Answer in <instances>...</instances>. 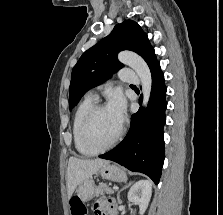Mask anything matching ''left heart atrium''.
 I'll use <instances>...</instances> for the list:
<instances>
[{
	"mask_svg": "<svg viewBox=\"0 0 223 215\" xmlns=\"http://www.w3.org/2000/svg\"><path fill=\"white\" fill-rule=\"evenodd\" d=\"M107 110L122 124L125 117V101L120 93L116 92L111 96Z\"/></svg>",
	"mask_w": 223,
	"mask_h": 215,
	"instance_id": "1",
	"label": "left heart atrium"
}]
</instances>
